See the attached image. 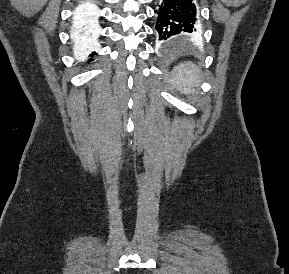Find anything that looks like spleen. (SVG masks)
Here are the masks:
<instances>
[{
  "mask_svg": "<svg viewBox=\"0 0 289 274\" xmlns=\"http://www.w3.org/2000/svg\"><path fill=\"white\" fill-rule=\"evenodd\" d=\"M199 81L200 70L193 63L180 64L174 68L171 84L181 93H193Z\"/></svg>",
  "mask_w": 289,
  "mask_h": 274,
  "instance_id": "1",
  "label": "spleen"
}]
</instances>
